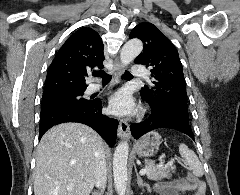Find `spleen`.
Here are the masks:
<instances>
[{
	"mask_svg": "<svg viewBox=\"0 0 240 195\" xmlns=\"http://www.w3.org/2000/svg\"><path fill=\"white\" fill-rule=\"evenodd\" d=\"M179 153L183 159H185L186 163H188L190 169H192L193 175H197V177H201L203 175V167L201 161H199L195 151L189 149L188 145L185 143H179Z\"/></svg>",
	"mask_w": 240,
	"mask_h": 195,
	"instance_id": "spleen-1",
	"label": "spleen"
}]
</instances>
